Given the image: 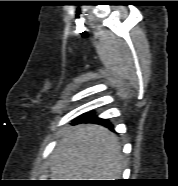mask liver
<instances>
[{
  "label": "liver",
  "instance_id": "6515ba94",
  "mask_svg": "<svg viewBox=\"0 0 178 186\" xmlns=\"http://www.w3.org/2000/svg\"><path fill=\"white\" fill-rule=\"evenodd\" d=\"M121 146L107 128L88 124L66 129L52 155V180H118Z\"/></svg>",
  "mask_w": 178,
  "mask_h": 186
}]
</instances>
